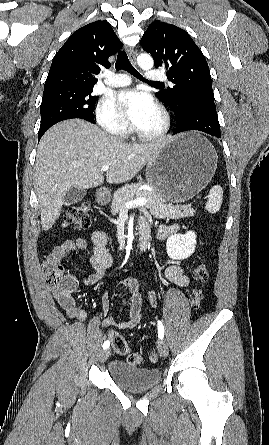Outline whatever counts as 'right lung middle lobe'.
<instances>
[{"label": "right lung middle lobe", "mask_w": 269, "mask_h": 445, "mask_svg": "<svg viewBox=\"0 0 269 445\" xmlns=\"http://www.w3.org/2000/svg\"><path fill=\"white\" fill-rule=\"evenodd\" d=\"M93 88H61L43 92L40 106L41 124L38 139L55 123L65 119L81 118L95 123L93 109L98 96Z\"/></svg>", "instance_id": "dd1d6c3e"}]
</instances>
